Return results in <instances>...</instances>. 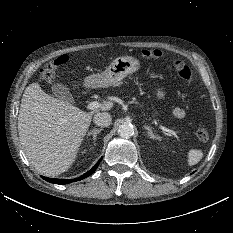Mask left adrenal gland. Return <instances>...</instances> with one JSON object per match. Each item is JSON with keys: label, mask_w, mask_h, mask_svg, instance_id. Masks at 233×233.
<instances>
[{"label": "left adrenal gland", "mask_w": 233, "mask_h": 233, "mask_svg": "<svg viewBox=\"0 0 233 233\" xmlns=\"http://www.w3.org/2000/svg\"><path fill=\"white\" fill-rule=\"evenodd\" d=\"M144 128L147 130V134L148 136H150V138L155 139V140H160V137L153 133L152 128L150 126L144 125Z\"/></svg>", "instance_id": "left-adrenal-gland-1"}]
</instances>
